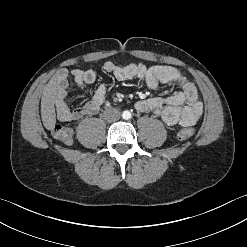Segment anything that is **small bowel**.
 Returning <instances> with one entry per match:
<instances>
[{
    "label": "small bowel",
    "mask_w": 247,
    "mask_h": 247,
    "mask_svg": "<svg viewBox=\"0 0 247 247\" xmlns=\"http://www.w3.org/2000/svg\"><path fill=\"white\" fill-rule=\"evenodd\" d=\"M102 71L111 74L118 81L135 79L155 90L160 84L176 83L181 90L167 98H145L136 102L135 108L142 113L152 112L167 125H195L203 112V105L195 85L177 68L168 65L147 67L144 64L117 65L111 61L102 66ZM97 78L93 69H61L54 79L56 94L54 106L58 120L70 122L85 116L96 114L107 97V87L101 83L94 94L81 107L71 109L67 102V88L72 82L80 90L85 85H92Z\"/></svg>",
    "instance_id": "small-bowel-1"
}]
</instances>
